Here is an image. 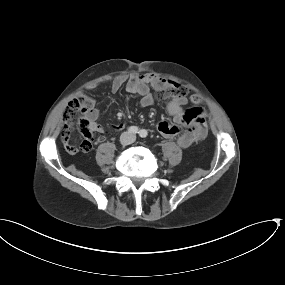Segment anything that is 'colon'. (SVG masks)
<instances>
[{
    "label": "colon",
    "instance_id": "1",
    "mask_svg": "<svg viewBox=\"0 0 285 285\" xmlns=\"http://www.w3.org/2000/svg\"><path fill=\"white\" fill-rule=\"evenodd\" d=\"M156 88L158 94L162 98L175 97V96H186L188 90L173 81H165L162 79H158ZM191 103L194 106H198L200 103V99L198 96H191ZM198 108V107H197ZM91 109V102L86 96H79L71 100L65 111V122L68 123L71 120H75L77 122V127L79 131L85 136L86 139L91 138V124L87 118V114ZM66 135V128L63 129L62 137L64 138Z\"/></svg>",
    "mask_w": 285,
    "mask_h": 285
}]
</instances>
